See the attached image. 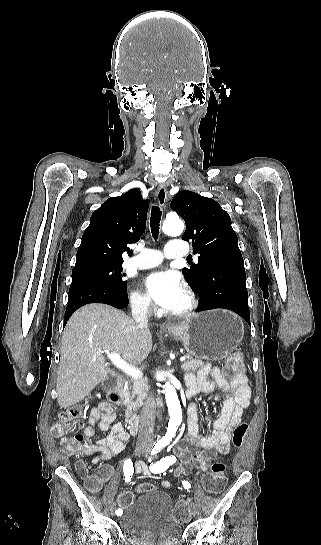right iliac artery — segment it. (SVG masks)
<instances>
[{"instance_id": "82829eb1", "label": "right iliac artery", "mask_w": 321, "mask_h": 545, "mask_svg": "<svg viewBox=\"0 0 321 545\" xmlns=\"http://www.w3.org/2000/svg\"><path fill=\"white\" fill-rule=\"evenodd\" d=\"M123 470H124L125 482H129L131 480V476L133 475V472H134V467H133V463H132L131 459L125 460ZM115 513H116V515H119V514H121V510L118 509V510H116Z\"/></svg>"}]
</instances>
